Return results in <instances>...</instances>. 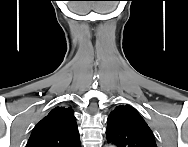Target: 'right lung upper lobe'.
Instances as JSON below:
<instances>
[{
  "instance_id": "obj_1",
  "label": "right lung upper lobe",
  "mask_w": 188,
  "mask_h": 147,
  "mask_svg": "<svg viewBox=\"0 0 188 147\" xmlns=\"http://www.w3.org/2000/svg\"><path fill=\"white\" fill-rule=\"evenodd\" d=\"M27 147H80L74 112L56 107L35 126Z\"/></svg>"
}]
</instances>
